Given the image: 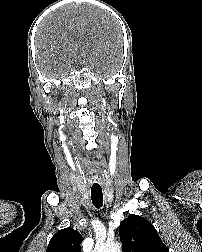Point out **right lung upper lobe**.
I'll return each mask as SVG.
<instances>
[{
	"label": "right lung upper lobe",
	"instance_id": "right-lung-upper-lobe-1",
	"mask_svg": "<svg viewBox=\"0 0 202 252\" xmlns=\"http://www.w3.org/2000/svg\"><path fill=\"white\" fill-rule=\"evenodd\" d=\"M82 237L72 228L57 232L49 242L46 252H81Z\"/></svg>",
	"mask_w": 202,
	"mask_h": 252
}]
</instances>
